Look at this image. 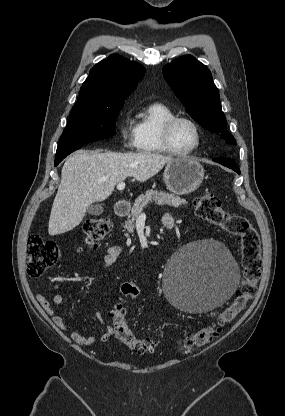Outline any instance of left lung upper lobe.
Wrapping results in <instances>:
<instances>
[{
	"instance_id": "5c2ea615",
	"label": "left lung upper lobe",
	"mask_w": 285,
	"mask_h": 416,
	"mask_svg": "<svg viewBox=\"0 0 285 416\" xmlns=\"http://www.w3.org/2000/svg\"><path fill=\"white\" fill-rule=\"evenodd\" d=\"M163 75L192 118L210 132L219 134L226 143L236 144L227 131L219 91L207 66L185 55L164 66Z\"/></svg>"
}]
</instances>
